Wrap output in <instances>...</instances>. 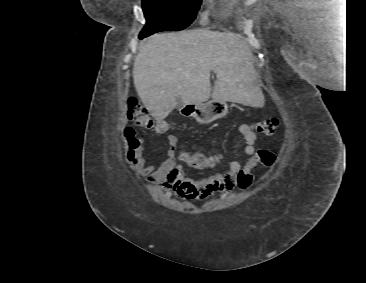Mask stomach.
<instances>
[{
	"instance_id": "stomach-1",
	"label": "stomach",
	"mask_w": 366,
	"mask_h": 283,
	"mask_svg": "<svg viewBox=\"0 0 366 283\" xmlns=\"http://www.w3.org/2000/svg\"><path fill=\"white\" fill-rule=\"evenodd\" d=\"M181 110H191L192 116L200 124H209L219 118L224 117L228 112V105L226 101L212 98L206 103L200 104H185L182 105Z\"/></svg>"
}]
</instances>
